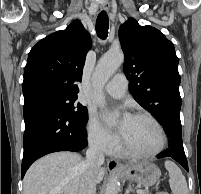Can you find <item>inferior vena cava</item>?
<instances>
[{"label": "inferior vena cava", "instance_id": "1", "mask_svg": "<svg viewBox=\"0 0 201 194\" xmlns=\"http://www.w3.org/2000/svg\"><path fill=\"white\" fill-rule=\"evenodd\" d=\"M104 163L103 146L99 142H91L83 162L84 173L79 185L78 194H96V174Z\"/></svg>", "mask_w": 201, "mask_h": 194}]
</instances>
